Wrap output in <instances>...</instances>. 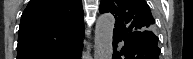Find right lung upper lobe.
<instances>
[{"mask_svg": "<svg viewBox=\"0 0 193 59\" xmlns=\"http://www.w3.org/2000/svg\"><path fill=\"white\" fill-rule=\"evenodd\" d=\"M83 37L81 0H31L21 17L17 59H48Z\"/></svg>", "mask_w": 193, "mask_h": 59, "instance_id": "cb5924a9", "label": "right lung upper lobe"}]
</instances>
